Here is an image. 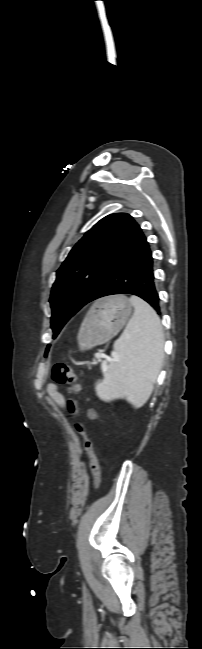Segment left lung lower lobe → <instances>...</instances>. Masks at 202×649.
<instances>
[{
	"label": "left lung lower lobe",
	"mask_w": 202,
	"mask_h": 649,
	"mask_svg": "<svg viewBox=\"0 0 202 649\" xmlns=\"http://www.w3.org/2000/svg\"><path fill=\"white\" fill-rule=\"evenodd\" d=\"M153 266L149 244L143 232L140 231L105 278L93 300L114 294H132L147 301L160 315ZM49 347L50 345L47 346L46 354Z\"/></svg>",
	"instance_id": "1"
}]
</instances>
